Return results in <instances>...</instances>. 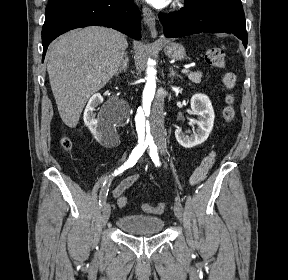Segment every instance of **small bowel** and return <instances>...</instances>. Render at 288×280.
Returning <instances> with one entry per match:
<instances>
[{
    "label": "small bowel",
    "instance_id": "1",
    "mask_svg": "<svg viewBox=\"0 0 288 280\" xmlns=\"http://www.w3.org/2000/svg\"><path fill=\"white\" fill-rule=\"evenodd\" d=\"M138 178V174L130 175L124 178L113 190L112 196L117 199L119 207H123L119 204V201L121 198L125 197L124 193L137 182Z\"/></svg>",
    "mask_w": 288,
    "mask_h": 280
}]
</instances>
